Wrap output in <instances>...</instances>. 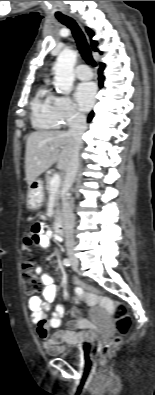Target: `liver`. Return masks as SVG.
<instances>
[{"instance_id": "obj_1", "label": "liver", "mask_w": 155, "mask_h": 395, "mask_svg": "<svg viewBox=\"0 0 155 395\" xmlns=\"http://www.w3.org/2000/svg\"><path fill=\"white\" fill-rule=\"evenodd\" d=\"M73 138L65 131H36L26 143L25 173L30 185L38 176L57 162L66 170L73 151Z\"/></svg>"}]
</instances>
